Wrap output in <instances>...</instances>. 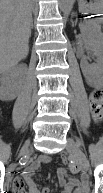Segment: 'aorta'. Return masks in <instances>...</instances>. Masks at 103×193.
<instances>
[{
  "instance_id": "762f6f07",
  "label": "aorta",
  "mask_w": 103,
  "mask_h": 193,
  "mask_svg": "<svg viewBox=\"0 0 103 193\" xmlns=\"http://www.w3.org/2000/svg\"><path fill=\"white\" fill-rule=\"evenodd\" d=\"M74 0H59V9L61 12L68 14L72 10Z\"/></svg>"
}]
</instances>
